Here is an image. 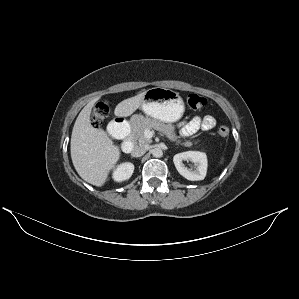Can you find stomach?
Segmentation results:
<instances>
[{
    "instance_id": "0dacf381",
    "label": "stomach",
    "mask_w": 299,
    "mask_h": 299,
    "mask_svg": "<svg viewBox=\"0 0 299 299\" xmlns=\"http://www.w3.org/2000/svg\"><path fill=\"white\" fill-rule=\"evenodd\" d=\"M143 112L163 122H176L184 113V102L178 92L155 87L145 92L141 103Z\"/></svg>"
}]
</instances>
